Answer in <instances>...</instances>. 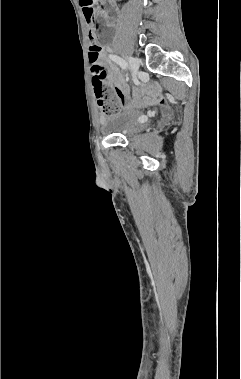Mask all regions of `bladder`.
<instances>
[{"mask_svg":"<svg viewBox=\"0 0 241 379\" xmlns=\"http://www.w3.org/2000/svg\"><path fill=\"white\" fill-rule=\"evenodd\" d=\"M154 117L137 111H123L114 114L104 124L102 130L108 135H122L130 137L153 121Z\"/></svg>","mask_w":241,"mask_h":379,"instance_id":"bladder-1","label":"bladder"}]
</instances>
